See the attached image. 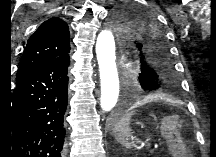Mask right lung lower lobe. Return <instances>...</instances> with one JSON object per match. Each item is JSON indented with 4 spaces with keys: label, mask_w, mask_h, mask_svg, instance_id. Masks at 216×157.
Here are the masks:
<instances>
[{
    "label": "right lung lower lobe",
    "mask_w": 216,
    "mask_h": 157,
    "mask_svg": "<svg viewBox=\"0 0 216 157\" xmlns=\"http://www.w3.org/2000/svg\"><path fill=\"white\" fill-rule=\"evenodd\" d=\"M69 65L68 55L16 80L10 119L0 135V155L63 157Z\"/></svg>",
    "instance_id": "obj_1"
}]
</instances>
